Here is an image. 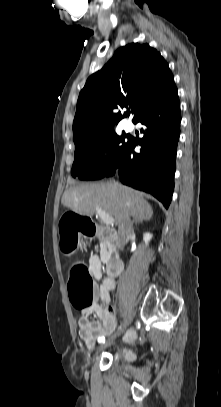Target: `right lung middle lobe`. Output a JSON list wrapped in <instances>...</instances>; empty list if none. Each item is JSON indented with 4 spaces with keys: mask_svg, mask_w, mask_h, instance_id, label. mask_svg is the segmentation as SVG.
I'll return each mask as SVG.
<instances>
[{
    "mask_svg": "<svg viewBox=\"0 0 221 407\" xmlns=\"http://www.w3.org/2000/svg\"><path fill=\"white\" fill-rule=\"evenodd\" d=\"M126 136H118L113 129L75 144L72 176L81 180H97L111 170L121 159L129 145ZM104 151L109 155L103 159Z\"/></svg>",
    "mask_w": 221,
    "mask_h": 407,
    "instance_id": "right-lung-middle-lobe-1",
    "label": "right lung middle lobe"
}]
</instances>
